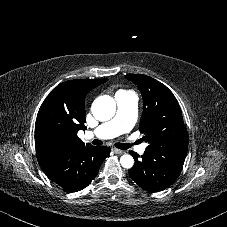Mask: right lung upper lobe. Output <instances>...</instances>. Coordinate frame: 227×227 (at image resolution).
Here are the masks:
<instances>
[{"label": "right lung upper lobe", "instance_id": "cb5924a9", "mask_svg": "<svg viewBox=\"0 0 227 227\" xmlns=\"http://www.w3.org/2000/svg\"><path fill=\"white\" fill-rule=\"evenodd\" d=\"M106 81L69 80L61 83L47 96L35 123V147L41 167L85 146L77 136L79 130L86 129L85 97L90 90Z\"/></svg>", "mask_w": 227, "mask_h": 227}]
</instances>
